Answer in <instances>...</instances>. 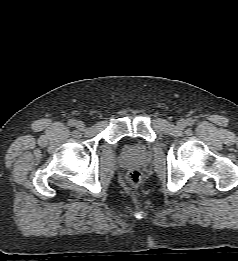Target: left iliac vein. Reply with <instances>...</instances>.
<instances>
[{
    "label": "left iliac vein",
    "instance_id": "4c4485c4",
    "mask_svg": "<svg viewBox=\"0 0 238 261\" xmlns=\"http://www.w3.org/2000/svg\"><path fill=\"white\" fill-rule=\"evenodd\" d=\"M186 126V121L184 119H180L178 122H177V127L179 129H183L184 127Z\"/></svg>",
    "mask_w": 238,
    "mask_h": 261
}]
</instances>
